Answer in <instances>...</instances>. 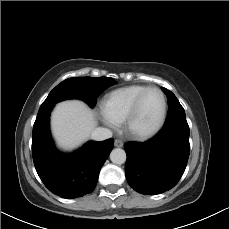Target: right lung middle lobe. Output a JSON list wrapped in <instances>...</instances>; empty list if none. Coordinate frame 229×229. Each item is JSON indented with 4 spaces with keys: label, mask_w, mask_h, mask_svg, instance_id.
<instances>
[{
    "label": "right lung middle lobe",
    "mask_w": 229,
    "mask_h": 229,
    "mask_svg": "<svg viewBox=\"0 0 229 229\" xmlns=\"http://www.w3.org/2000/svg\"><path fill=\"white\" fill-rule=\"evenodd\" d=\"M116 84L109 77H74L62 81L48 95L41 106L51 107L65 99L77 98L85 101L91 107L96 104L97 97L108 87Z\"/></svg>",
    "instance_id": "dd1d6c3e"
}]
</instances>
